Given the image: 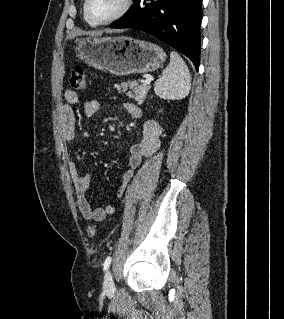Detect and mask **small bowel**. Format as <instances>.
Listing matches in <instances>:
<instances>
[{"label":"small bowel","instance_id":"1","mask_svg":"<svg viewBox=\"0 0 284 319\" xmlns=\"http://www.w3.org/2000/svg\"><path fill=\"white\" fill-rule=\"evenodd\" d=\"M79 101L76 91L68 89L64 93L63 104L60 109V125L64 140L72 144L76 138V119L74 105ZM125 109L133 119H140L143 113L139 107L132 103L125 104ZM101 106L96 100H89L84 103V112L87 116L95 115ZM162 127L151 119H147L142 128V138L139 143L132 144L128 149L127 168L122 175V186L117 195L121 197L127 185L132 180L135 170L141 165L145 158L152 156L159 148ZM71 178L74 184L77 205L81 215L96 222L103 221L108 215L114 213L115 208L111 203L103 206H92L87 199V192L90 188L92 176L90 174L81 175L74 163L69 166Z\"/></svg>","mask_w":284,"mask_h":319}]
</instances>
